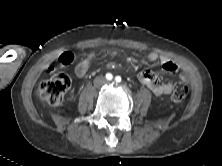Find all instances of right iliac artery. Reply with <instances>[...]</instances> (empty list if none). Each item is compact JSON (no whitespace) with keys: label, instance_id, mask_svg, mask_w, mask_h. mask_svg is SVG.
Instances as JSON below:
<instances>
[{"label":"right iliac artery","instance_id":"obj_1","mask_svg":"<svg viewBox=\"0 0 222 166\" xmlns=\"http://www.w3.org/2000/svg\"><path fill=\"white\" fill-rule=\"evenodd\" d=\"M106 79L107 80H112L113 79V75L111 73H107L106 74Z\"/></svg>","mask_w":222,"mask_h":166}]
</instances>
